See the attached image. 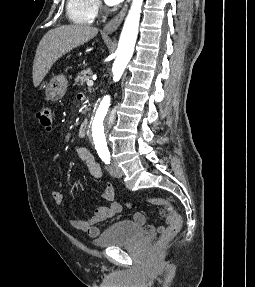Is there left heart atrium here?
Segmentation results:
<instances>
[{"label":"left heart atrium","instance_id":"obj_1","mask_svg":"<svg viewBox=\"0 0 255 287\" xmlns=\"http://www.w3.org/2000/svg\"><path fill=\"white\" fill-rule=\"evenodd\" d=\"M111 2H115L116 0H109ZM76 33H83V32H76ZM78 39H84V38H78Z\"/></svg>","mask_w":255,"mask_h":287}]
</instances>
